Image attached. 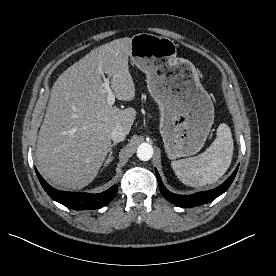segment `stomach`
Returning <instances> with one entry per match:
<instances>
[{
	"instance_id": "stomach-1",
	"label": "stomach",
	"mask_w": 276,
	"mask_h": 276,
	"mask_svg": "<svg viewBox=\"0 0 276 276\" xmlns=\"http://www.w3.org/2000/svg\"><path fill=\"white\" fill-rule=\"evenodd\" d=\"M129 56L146 73L149 93L159 106L160 133L168 158L196 154L213 125L214 106L195 66L177 57L172 40L148 33L131 38Z\"/></svg>"
}]
</instances>
